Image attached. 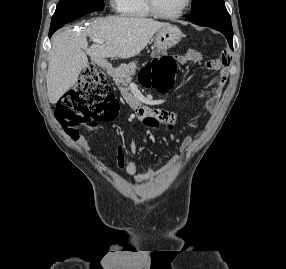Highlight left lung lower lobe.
I'll return each mask as SVG.
<instances>
[{
    "label": "left lung lower lobe",
    "mask_w": 286,
    "mask_h": 269,
    "mask_svg": "<svg viewBox=\"0 0 286 269\" xmlns=\"http://www.w3.org/2000/svg\"><path fill=\"white\" fill-rule=\"evenodd\" d=\"M217 31H220L222 34H224V36L227 38V41L230 45V47L233 49L232 46V41H233V30H228L222 27H211Z\"/></svg>",
    "instance_id": "left-lung-lower-lobe-1"
}]
</instances>
